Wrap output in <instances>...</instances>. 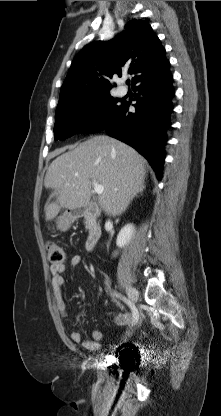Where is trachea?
Instances as JSON below:
<instances>
[{"mask_svg": "<svg viewBox=\"0 0 221 416\" xmlns=\"http://www.w3.org/2000/svg\"><path fill=\"white\" fill-rule=\"evenodd\" d=\"M129 84H130V80L127 81V85H129Z\"/></svg>", "mask_w": 221, "mask_h": 416, "instance_id": "obj_1", "label": "trachea"}]
</instances>
